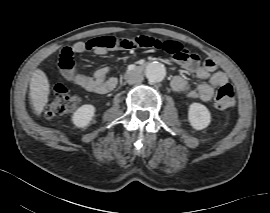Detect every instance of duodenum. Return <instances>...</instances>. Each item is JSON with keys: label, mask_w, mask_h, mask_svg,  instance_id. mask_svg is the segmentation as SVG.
Returning a JSON list of instances; mask_svg holds the SVG:
<instances>
[{"label": "duodenum", "mask_w": 270, "mask_h": 213, "mask_svg": "<svg viewBox=\"0 0 270 213\" xmlns=\"http://www.w3.org/2000/svg\"><path fill=\"white\" fill-rule=\"evenodd\" d=\"M145 70V66L144 65H138L134 68V72L136 73H142Z\"/></svg>", "instance_id": "410a0bca"}]
</instances>
